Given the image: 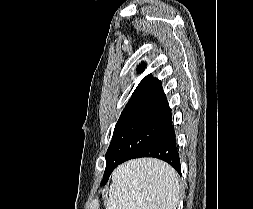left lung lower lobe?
I'll return each mask as SVG.
<instances>
[{"label":"left lung lower lobe","instance_id":"0a47b994","mask_svg":"<svg viewBox=\"0 0 253 209\" xmlns=\"http://www.w3.org/2000/svg\"><path fill=\"white\" fill-rule=\"evenodd\" d=\"M141 157H154L161 159L167 163H169L179 174H181V166L179 153L177 151L176 139H175V131L174 126L171 122L168 124L166 128L153 140H151L141 151L137 154L125 157L118 161H114L109 167L105 169L102 185L106 184L108 181L112 171L121 163Z\"/></svg>","mask_w":253,"mask_h":209}]
</instances>
